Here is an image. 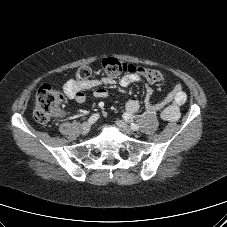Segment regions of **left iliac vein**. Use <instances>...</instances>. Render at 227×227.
Masks as SVG:
<instances>
[{"mask_svg":"<svg viewBox=\"0 0 227 227\" xmlns=\"http://www.w3.org/2000/svg\"><path fill=\"white\" fill-rule=\"evenodd\" d=\"M116 125L125 134L131 135L134 133V130L122 120H116Z\"/></svg>","mask_w":227,"mask_h":227,"instance_id":"left-iliac-vein-1","label":"left iliac vein"}]
</instances>
